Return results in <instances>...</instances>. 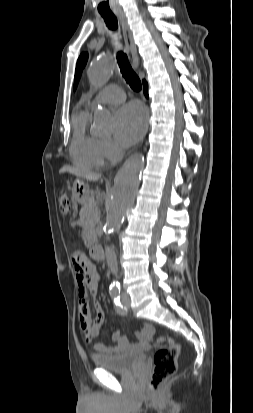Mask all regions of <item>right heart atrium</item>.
Here are the masks:
<instances>
[{"instance_id":"obj_1","label":"right heart atrium","mask_w":253,"mask_h":413,"mask_svg":"<svg viewBox=\"0 0 253 413\" xmlns=\"http://www.w3.org/2000/svg\"><path fill=\"white\" fill-rule=\"evenodd\" d=\"M101 146L107 159L113 160L120 154V149L112 140L102 139Z\"/></svg>"}]
</instances>
